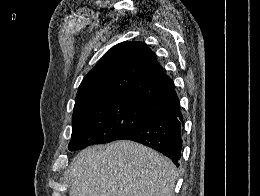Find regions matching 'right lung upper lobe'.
Wrapping results in <instances>:
<instances>
[{
    "mask_svg": "<svg viewBox=\"0 0 260 196\" xmlns=\"http://www.w3.org/2000/svg\"><path fill=\"white\" fill-rule=\"evenodd\" d=\"M173 86L146 44L123 42L111 48L83 78L75 106L111 100L142 105Z\"/></svg>",
    "mask_w": 260,
    "mask_h": 196,
    "instance_id": "right-lung-upper-lobe-1",
    "label": "right lung upper lobe"
}]
</instances>
